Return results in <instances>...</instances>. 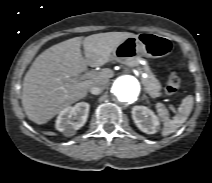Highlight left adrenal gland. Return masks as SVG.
I'll use <instances>...</instances> for the list:
<instances>
[{
    "label": "left adrenal gland",
    "mask_w": 212,
    "mask_h": 183,
    "mask_svg": "<svg viewBox=\"0 0 212 183\" xmlns=\"http://www.w3.org/2000/svg\"><path fill=\"white\" fill-rule=\"evenodd\" d=\"M143 99H146V100H147V97H146V95H145V94L143 95Z\"/></svg>",
    "instance_id": "a2214340"
}]
</instances>
